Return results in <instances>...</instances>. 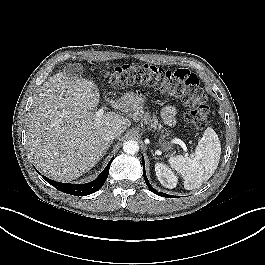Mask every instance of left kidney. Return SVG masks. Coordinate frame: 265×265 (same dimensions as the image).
Here are the masks:
<instances>
[{"label": "left kidney", "instance_id": "obj_1", "mask_svg": "<svg viewBox=\"0 0 265 265\" xmlns=\"http://www.w3.org/2000/svg\"><path fill=\"white\" fill-rule=\"evenodd\" d=\"M155 171L159 182L164 187L169 189L176 187L178 178L165 164L157 163L155 165Z\"/></svg>", "mask_w": 265, "mask_h": 265}]
</instances>
